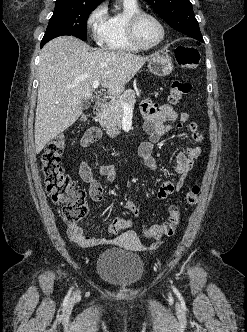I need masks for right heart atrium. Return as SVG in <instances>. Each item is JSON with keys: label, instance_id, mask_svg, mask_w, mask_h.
Returning a JSON list of instances; mask_svg holds the SVG:
<instances>
[{"label": "right heart atrium", "instance_id": "d8ad5b80", "mask_svg": "<svg viewBox=\"0 0 247 332\" xmlns=\"http://www.w3.org/2000/svg\"><path fill=\"white\" fill-rule=\"evenodd\" d=\"M107 19L108 9L105 3L97 5L87 17V29L93 40L97 43H102L106 29Z\"/></svg>", "mask_w": 247, "mask_h": 332}]
</instances>
